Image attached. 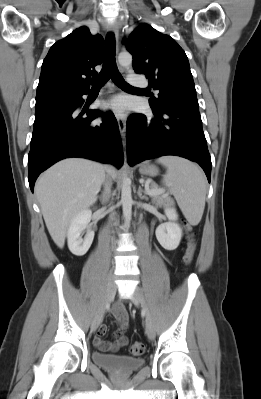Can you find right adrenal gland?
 Instances as JSON below:
<instances>
[{"label":"right adrenal gland","mask_w":261,"mask_h":399,"mask_svg":"<svg viewBox=\"0 0 261 399\" xmlns=\"http://www.w3.org/2000/svg\"><path fill=\"white\" fill-rule=\"evenodd\" d=\"M99 200L101 201V203H104L107 200V194L103 193L102 195H100Z\"/></svg>","instance_id":"1"}]
</instances>
